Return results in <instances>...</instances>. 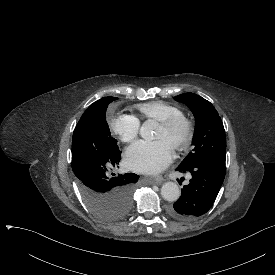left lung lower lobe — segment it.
Segmentation results:
<instances>
[{
  "instance_id": "1",
  "label": "left lung lower lobe",
  "mask_w": 275,
  "mask_h": 275,
  "mask_svg": "<svg viewBox=\"0 0 275 275\" xmlns=\"http://www.w3.org/2000/svg\"><path fill=\"white\" fill-rule=\"evenodd\" d=\"M177 170L190 172L192 178L183 187L181 197L168 207V214L177 220H192L212 207L225 177V161L207 159Z\"/></svg>"
}]
</instances>
